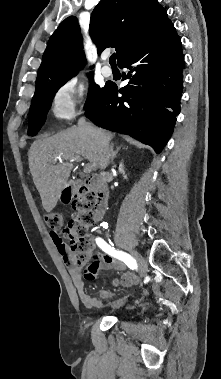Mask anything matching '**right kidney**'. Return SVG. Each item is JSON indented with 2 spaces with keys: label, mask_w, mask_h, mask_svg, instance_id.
<instances>
[{
  "label": "right kidney",
  "mask_w": 221,
  "mask_h": 379,
  "mask_svg": "<svg viewBox=\"0 0 221 379\" xmlns=\"http://www.w3.org/2000/svg\"><path fill=\"white\" fill-rule=\"evenodd\" d=\"M119 172L123 174L125 179H127V176L125 175V172H124V166L122 163L119 164Z\"/></svg>",
  "instance_id": "right-kidney-1"
}]
</instances>
